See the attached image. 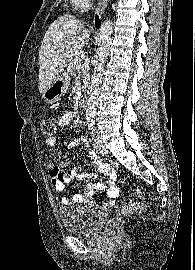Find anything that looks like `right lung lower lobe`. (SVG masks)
Returning <instances> with one entry per match:
<instances>
[{
    "mask_svg": "<svg viewBox=\"0 0 195 270\" xmlns=\"http://www.w3.org/2000/svg\"><path fill=\"white\" fill-rule=\"evenodd\" d=\"M95 25H96L97 28L100 27V20H99L98 16L95 17Z\"/></svg>",
    "mask_w": 195,
    "mask_h": 270,
    "instance_id": "1",
    "label": "right lung lower lobe"
}]
</instances>
